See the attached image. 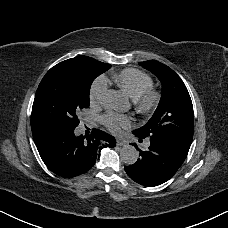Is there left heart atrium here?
Returning <instances> with one entry per match:
<instances>
[{
	"label": "left heart atrium",
	"mask_w": 228,
	"mask_h": 228,
	"mask_svg": "<svg viewBox=\"0 0 228 228\" xmlns=\"http://www.w3.org/2000/svg\"><path fill=\"white\" fill-rule=\"evenodd\" d=\"M107 128L114 133H119L122 129H128L131 121L128 116L118 113H108L103 117Z\"/></svg>",
	"instance_id": "39dd6f15"
}]
</instances>
